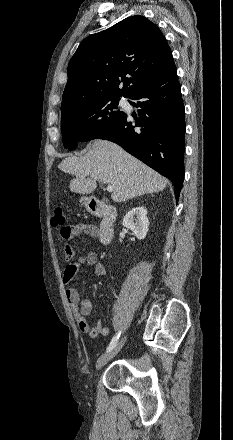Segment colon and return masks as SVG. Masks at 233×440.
I'll return each mask as SVG.
<instances>
[{
	"label": "colon",
	"mask_w": 233,
	"mask_h": 440,
	"mask_svg": "<svg viewBox=\"0 0 233 440\" xmlns=\"http://www.w3.org/2000/svg\"><path fill=\"white\" fill-rule=\"evenodd\" d=\"M51 222L53 226L64 227L65 217L61 206L56 205L53 207Z\"/></svg>",
	"instance_id": "obj_1"
}]
</instances>
